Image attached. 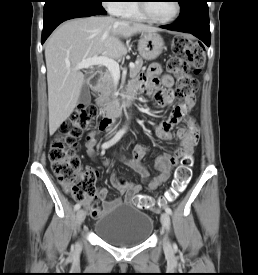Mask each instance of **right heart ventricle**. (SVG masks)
<instances>
[{
    "mask_svg": "<svg viewBox=\"0 0 258 275\" xmlns=\"http://www.w3.org/2000/svg\"><path fill=\"white\" fill-rule=\"evenodd\" d=\"M127 3H123L121 8L118 10L116 15H119L124 18L133 19L137 21H146L147 19L140 12L138 7L137 0H128L124 1Z\"/></svg>",
    "mask_w": 258,
    "mask_h": 275,
    "instance_id": "right-heart-ventricle-1",
    "label": "right heart ventricle"
}]
</instances>
